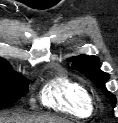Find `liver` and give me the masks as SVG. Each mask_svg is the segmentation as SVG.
<instances>
[{"mask_svg":"<svg viewBox=\"0 0 118 123\" xmlns=\"http://www.w3.org/2000/svg\"><path fill=\"white\" fill-rule=\"evenodd\" d=\"M0 123H70V121L45 114L32 116L13 114L12 116H0Z\"/></svg>","mask_w":118,"mask_h":123,"instance_id":"1","label":"liver"}]
</instances>
